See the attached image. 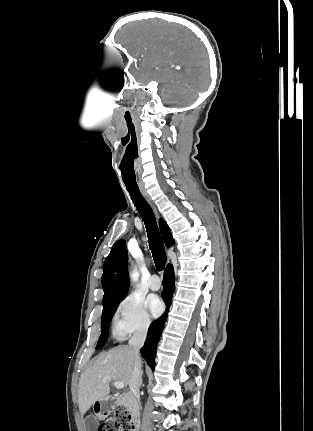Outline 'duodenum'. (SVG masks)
I'll return each instance as SVG.
<instances>
[{"instance_id": "1", "label": "duodenum", "mask_w": 313, "mask_h": 431, "mask_svg": "<svg viewBox=\"0 0 313 431\" xmlns=\"http://www.w3.org/2000/svg\"><path fill=\"white\" fill-rule=\"evenodd\" d=\"M116 403L118 405L125 406L129 409L131 413V420H130L131 431H138L140 426L139 404L135 396L129 392L124 393L122 395H119L116 398Z\"/></svg>"}]
</instances>
